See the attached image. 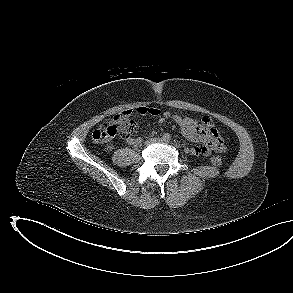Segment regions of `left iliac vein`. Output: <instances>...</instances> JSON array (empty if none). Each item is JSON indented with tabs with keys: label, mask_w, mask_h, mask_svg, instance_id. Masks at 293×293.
Masks as SVG:
<instances>
[{
	"label": "left iliac vein",
	"mask_w": 293,
	"mask_h": 293,
	"mask_svg": "<svg viewBox=\"0 0 293 293\" xmlns=\"http://www.w3.org/2000/svg\"><path fill=\"white\" fill-rule=\"evenodd\" d=\"M158 141L161 142V143H166V144L169 143L168 141H165V140H163V139H159Z\"/></svg>",
	"instance_id": "1"
}]
</instances>
